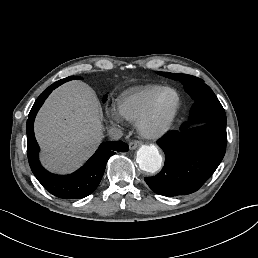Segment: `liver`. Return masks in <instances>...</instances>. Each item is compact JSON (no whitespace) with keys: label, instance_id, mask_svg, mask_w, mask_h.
I'll list each match as a JSON object with an SVG mask.
<instances>
[{"label":"liver","instance_id":"liver-1","mask_svg":"<svg viewBox=\"0 0 258 258\" xmlns=\"http://www.w3.org/2000/svg\"><path fill=\"white\" fill-rule=\"evenodd\" d=\"M99 110L94 90L81 80H70L50 93L34 120L44 169L71 174L90 159L105 137Z\"/></svg>","mask_w":258,"mask_h":258}]
</instances>
